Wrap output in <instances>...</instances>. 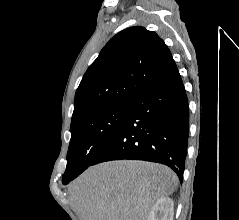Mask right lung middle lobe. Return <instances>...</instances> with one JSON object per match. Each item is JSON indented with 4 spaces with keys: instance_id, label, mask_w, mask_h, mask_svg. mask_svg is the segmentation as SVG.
Listing matches in <instances>:
<instances>
[{
    "instance_id": "1",
    "label": "right lung middle lobe",
    "mask_w": 239,
    "mask_h": 220,
    "mask_svg": "<svg viewBox=\"0 0 239 220\" xmlns=\"http://www.w3.org/2000/svg\"><path fill=\"white\" fill-rule=\"evenodd\" d=\"M130 104L91 112L71 123L67 167L62 183L68 184L90 165L124 121Z\"/></svg>"
}]
</instances>
